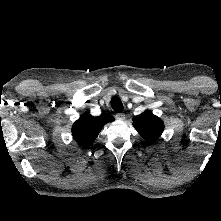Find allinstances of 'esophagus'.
I'll list each match as a JSON object with an SVG mask.
<instances>
[{"label":"esophagus","instance_id":"1","mask_svg":"<svg viewBox=\"0 0 221 221\" xmlns=\"http://www.w3.org/2000/svg\"><path fill=\"white\" fill-rule=\"evenodd\" d=\"M115 117H116L118 120H120V121H123V120H125V118H126V116H125L124 113H117V114L115 115Z\"/></svg>","mask_w":221,"mask_h":221}]
</instances>
